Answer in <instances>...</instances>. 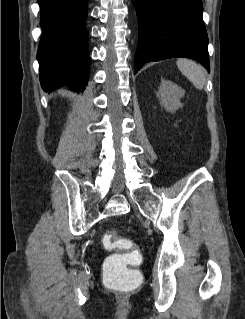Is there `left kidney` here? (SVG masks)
Returning <instances> with one entry per match:
<instances>
[{
  "mask_svg": "<svg viewBox=\"0 0 245 319\" xmlns=\"http://www.w3.org/2000/svg\"><path fill=\"white\" fill-rule=\"evenodd\" d=\"M185 91L176 85L175 83L167 80H162L159 90L158 97L160 98V104L168 112H174L179 107H182L180 99L184 96Z\"/></svg>",
  "mask_w": 245,
  "mask_h": 319,
  "instance_id": "obj_1",
  "label": "left kidney"
}]
</instances>
